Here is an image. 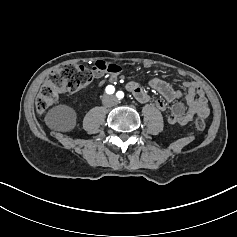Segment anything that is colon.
Here are the masks:
<instances>
[{
    "label": "colon",
    "instance_id": "obj_1",
    "mask_svg": "<svg viewBox=\"0 0 237 237\" xmlns=\"http://www.w3.org/2000/svg\"><path fill=\"white\" fill-rule=\"evenodd\" d=\"M121 71L119 65L104 60L97 61L93 68L78 64L60 65L51 71L42 85L36 99V109L38 112H45L59 100L61 93L76 92L87 86L95 76L115 78ZM195 127L198 131H204V119L199 117Z\"/></svg>",
    "mask_w": 237,
    "mask_h": 237
}]
</instances>
